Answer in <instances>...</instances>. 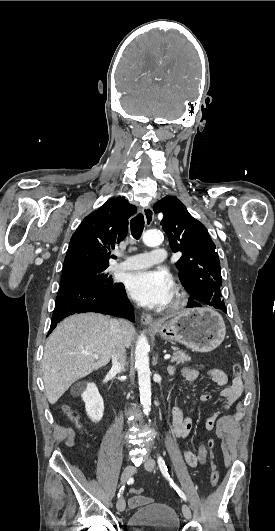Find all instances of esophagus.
I'll return each mask as SVG.
<instances>
[{
    "label": "esophagus",
    "mask_w": 275,
    "mask_h": 531,
    "mask_svg": "<svg viewBox=\"0 0 275 531\" xmlns=\"http://www.w3.org/2000/svg\"><path fill=\"white\" fill-rule=\"evenodd\" d=\"M143 215L145 218L146 226H150L154 220V211L150 206L143 209ZM141 322L147 325L149 328H156L158 323L155 322L150 314L142 313Z\"/></svg>",
    "instance_id": "1"
}]
</instances>
